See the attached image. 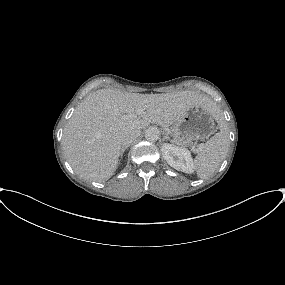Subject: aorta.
Segmentation results:
<instances>
[{
    "label": "aorta",
    "instance_id": "aorta-1",
    "mask_svg": "<svg viewBox=\"0 0 285 285\" xmlns=\"http://www.w3.org/2000/svg\"><path fill=\"white\" fill-rule=\"evenodd\" d=\"M145 138L149 142H155L159 139V130L157 128H149L145 132Z\"/></svg>",
    "mask_w": 285,
    "mask_h": 285
}]
</instances>
